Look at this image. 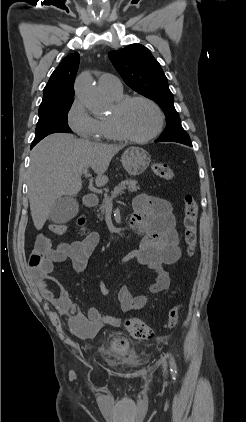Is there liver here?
Wrapping results in <instances>:
<instances>
[{
    "mask_svg": "<svg viewBox=\"0 0 246 422\" xmlns=\"http://www.w3.org/2000/svg\"><path fill=\"white\" fill-rule=\"evenodd\" d=\"M122 148L65 133L50 135L39 142L31 152L28 172V197L35 228L42 229L58 198L78 194L84 170L92 168L97 174L95 184L104 186L110 161Z\"/></svg>",
    "mask_w": 246,
    "mask_h": 422,
    "instance_id": "6515ba94",
    "label": "liver"
}]
</instances>
